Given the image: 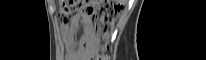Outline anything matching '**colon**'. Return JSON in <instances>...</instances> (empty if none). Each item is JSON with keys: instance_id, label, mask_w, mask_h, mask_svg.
<instances>
[{"instance_id": "obj_1", "label": "colon", "mask_w": 206, "mask_h": 60, "mask_svg": "<svg viewBox=\"0 0 206 60\" xmlns=\"http://www.w3.org/2000/svg\"><path fill=\"white\" fill-rule=\"evenodd\" d=\"M121 12V6L117 0H97L93 5L85 7L80 0H62L60 3V20L62 23H71L79 18L82 13L98 15L96 35L83 41L80 55L87 60H106L107 57L101 54L100 40L106 41Z\"/></svg>"}]
</instances>
